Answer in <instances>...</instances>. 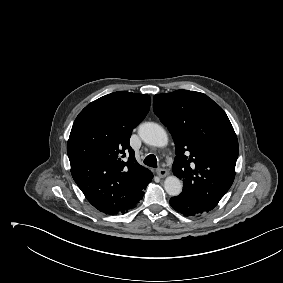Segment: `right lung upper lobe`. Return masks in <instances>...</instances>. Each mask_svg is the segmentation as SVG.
<instances>
[{
  "label": "right lung upper lobe",
  "mask_w": 283,
  "mask_h": 283,
  "mask_svg": "<svg viewBox=\"0 0 283 283\" xmlns=\"http://www.w3.org/2000/svg\"><path fill=\"white\" fill-rule=\"evenodd\" d=\"M150 103L146 94L114 92L88 104L74 121L67 143L71 174L101 212L117 214L133 208L153 177L137 163L129 144Z\"/></svg>",
  "instance_id": "right-lung-upper-lobe-1"
}]
</instances>
